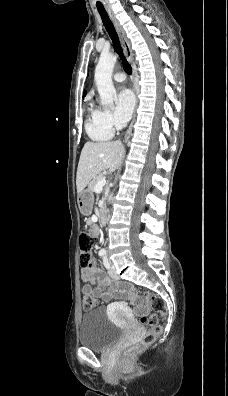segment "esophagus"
Listing matches in <instances>:
<instances>
[{"instance_id": "obj_1", "label": "esophagus", "mask_w": 228, "mask_h": 396, "mask_svg": "<svg viewBox=\"0 0 228 396\" xmlns=\"http://www.w3.org/2000/svg\"><path fill=\"white\" fill-rule=\"evenodd\" d=\"M106 10H107L108 15H109L110 19L112 20L115 28H116V31H117L118 36H119V40L121 42V45L123 47V50L125 52L126 57H127L128 61L133 64L134 54H133V51L131 49L130 43H129L126 35H125V32H124L122 26L120 25L119 21L117 20L115 14L113 13V11L109 7H107ZM133 72H134V76L136 77L137 72H136V69L134 67H133ZM134 91L136 93L135 110H134V113H133L132 121H131V123H130V125L128 127L127 132H126L124 142H126L128 140V138H129V136H130V134L132 132L133 124H134V122L136 120V109L138 107V96H137L138 95V90H137V83L136 82H134Z\"/></svg>"}]
</instances>
